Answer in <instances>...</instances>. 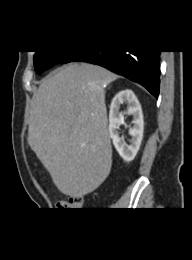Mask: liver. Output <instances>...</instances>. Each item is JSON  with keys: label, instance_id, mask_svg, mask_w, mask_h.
Returning <instances> with one entry per match:
<instances>
[{"label": "liver", "instance_id": "6515ba94", "mask_svg": "<svg viewBox=\"0 0 192 260\" xmlns=\"http://www.w3.org/2000/svg\"><path fill=\"white\" fill-rule=\"evenodd\" d=\"M118 76L90 63H70L40 84L32 99L28 144L58 190L82 197L112 165L104 89Z\"/></svg>", "mask_w": 192, "mask_h": 260}]
</instances>
